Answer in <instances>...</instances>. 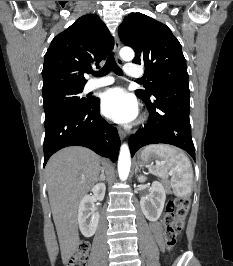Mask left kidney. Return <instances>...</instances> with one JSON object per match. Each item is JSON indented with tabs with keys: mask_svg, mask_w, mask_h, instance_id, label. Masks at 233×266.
I'll use <instances>...</instances> for the list:
<instances>
[{
	"mask_svg": "<svg viewBox=\"0 0 233 266\" xmlns=\"http://www.w3.org/2000/svg\"><path fill=\"white\" fill-rule=\"evenodd\" d=\"M138 181L143 183L146 181L145 176H139ZM166 200V191L162 183L154 181L151 186L150 194L142 196L140 206L143 214L149 221H157L163 211Z\"/></svg>",
	"mask_w": 233,
	"mask_h": 266,
	"instance_id": "5707ae66",
	"label": "left kidney"
}]
</instances>
